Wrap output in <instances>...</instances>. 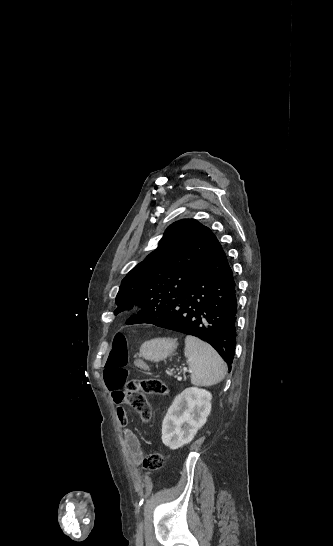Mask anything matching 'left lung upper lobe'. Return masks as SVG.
<instances>
[{"label":"left lung upper lobe","instance_id":"obj_1","mask_svg":"<svg viewBox=\"0 0 333 546\" xmlns=\"http://www.w3.org/2000/svg\"><path fill=\"white\" fill-rule=\"evenodd\" d=\"M215 242L212 231L196 220L171 224L157 249L122 280L114 313L138 305L140 317L149 323L156 320L190 286Z\"/></svg>","mask_w":333,"mask_h":546}]
</instances>
